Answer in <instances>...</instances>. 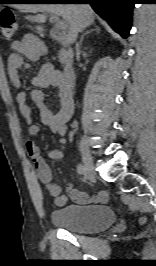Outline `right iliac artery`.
I'll list each match as a JSON object with an SVG mask.
<instances>
[{"instance_id":"82829eb1","label":"right iliac artery","mask_w":156,"mask_h":266,"mask_svg":"<svg viewBox=\"0 0 156 266\" xmlns=\"http://www.w3.org/2000/svg\"><path fill=\"white\" fill-rule=\"evenodd\" d=\"M77 172H78L79 175H83L85 173L84 167L82 166V164H78Z\"/></svg>"}]
</instances>
